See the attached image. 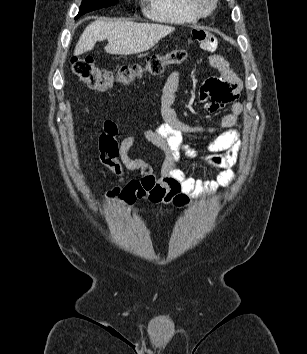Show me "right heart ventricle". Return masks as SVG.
I'll return each mask as SVG.
<instances>
[{"mask_svg": "<svg viewBox=\"0 0 307 354\" xmlns=\"http://www.w3.org/2000/svg\"><path fill=\"white\" fill-rule=\"evenodd\" d=\"M146 15L158 22L192 24L198 16L190 7L189 0H147Z\"/></svg>", "mask_w": 307, "mask_h": 354, "instance_id": "obj_1", "label": "right heart ventricle"}]
</instances>
